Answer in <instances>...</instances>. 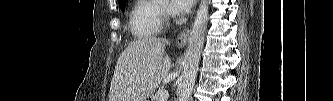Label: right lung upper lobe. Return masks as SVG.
I'll use <instances>...</instances> for the list:
<instances>
[{
	"label": "right lung upper lobe",
	"mask_w": 333,
	"mask_h": 101,
	"mask_svg": "<svg viewBox=\"0 0 333 101\" xmlns=\"http://www.w3.org/2000/svg\"><path fill=\"white\" fill-rule=\"evenodd\" d=\"M127 0H119V4L126 2Z\"/></svg>",
	"instance_id": "right-lung-upper-lobe-1"
}]
</instances>
